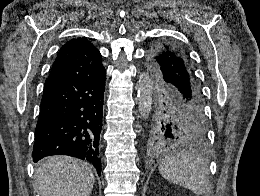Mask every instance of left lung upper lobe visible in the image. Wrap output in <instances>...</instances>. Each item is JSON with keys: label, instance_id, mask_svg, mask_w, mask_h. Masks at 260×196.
Segmentation results:
<instances>
[{"label": "left lung upper lobe", "instance_id": "left-lung-upper-lobe-1", "mask_svg": "<svg viewBox=\"0 0 260 196\" xmlns=\"http://www.w3.org/2000/svg\"><path fill=\"white\" fill-rule=\"evenodd\" d=\"M148 71L152 86L143 135L146 149L206 142L202 92L186 50L172 42L148 48Z\"/></svg>", "mask_w": 260, "mask_h": 196}]
</instances>
